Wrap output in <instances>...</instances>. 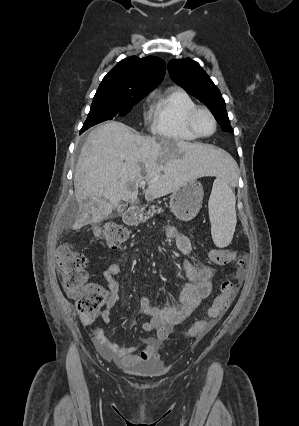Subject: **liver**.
<instances>
[{
  "label": "liver",
  "mask_w": 299,
  "mask_h": 426,
  "mask_svg": "<svg viewBox=\"0 0 299 426\" xmlns=\"http://www.w3.org/2000/svg\"><path fill=\"white\" fill-rule=\"evenodd\" d=\"M233 158L213 145L140 136L121 122H108L88 135L74 172L79 229L107 219L121 200L134 203L140 181L148 182L145 199L170 194L204 175H226Z\"/></svg>",
  "instance_id": "liver-1"
}]
</instances>
